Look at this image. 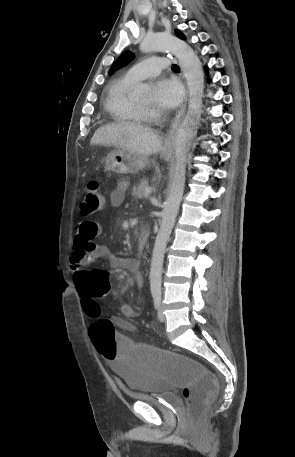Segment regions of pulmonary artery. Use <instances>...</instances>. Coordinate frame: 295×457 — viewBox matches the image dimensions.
I'll list each match as a JSON object with an SVG mask.
<instances>
[{
    "label": "pulmonary artery",
    "mask_w": 295,
    "mask_h": 457,
    "mask_svg": "<svg viewBox=\"0 0 295 457\" xmlns=\"http://www.w3.org/2000/svg\"><path fill=\"white\" fill-rule=\"evenodd\" d=\"M169 66V60L165 57L153 56L132 66L126 76L132 80L140 81L157 76L162 69Z\"/></svg>",
    "instance_id": "e3ab8cb5"
}]
</instances>
